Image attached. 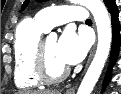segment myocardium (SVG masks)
<instances>
[{"mask_svg": "<svg viewBox=\"0 0 121 94\" xmlns=\"http://www.w3.org/2000/svg\"><path fill=\"white\" fill-rule=\"evenodd\" d=\"M34 70L37 78L45 84H54L64 80L70 69L65 67L59 73L52 74L47 66V57L45 51V40L40 39L35 50Z\"/></svg>", "mask_w": 121, "mask_h": 94, "instance_id": "f54148a6", "label": "myocardium"}]
</instances>
